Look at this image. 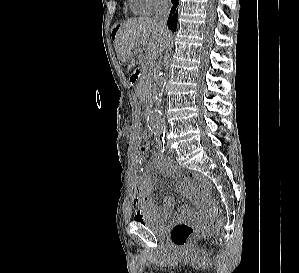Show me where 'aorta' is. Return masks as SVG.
<instances>
[{"label": "aorta", "mask_w": 299, "mask_h": 273, "mask_svg": "<svg viewBox=\"0 0 299 273\" xmlns=\"http://www.w3.org/2000/svg\"><path fill=\"white\" fill-rule=\"evenodd\" d=\"M166 81V75L165 73H160L155 78V92L154 97L156 101L158 102L161 98V92L162 87L164 86ZM147 126L148 128L154 133L155 138L157 140H163L164 139V133L166 130L165 122L162 117L161 112L158 108L151 109L147 114Z\"/></svg>", "instance_id": "aorta-1"}]
</instances>
